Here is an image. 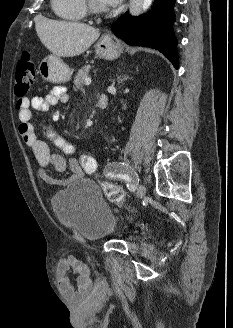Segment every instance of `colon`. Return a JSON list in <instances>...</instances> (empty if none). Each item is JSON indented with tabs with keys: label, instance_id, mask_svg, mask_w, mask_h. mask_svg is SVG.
I'll return each instance as SVG.
<instances>
[{
	"label": "colon",
	"instance_id": "colon-1",
	"mask_svg": "<svg viewBox=\"0 0 233 328\" xmlns=\"http://www.w3.org/2000/svg\"><path fill=\"white\" fill-rule=\"evenodd\" d=\"M36 78V68L31 55L24 52L17 63L15 74V93L19 97L25 96L33 86ZM56 144L66 152H71L72 147L64 140L54 137ZM82 165L87 172H94L96 169V162L89 156L82 158ZM102 188L107 199L116 204L125 202V194L120 186L109 181L102 182Z\"/></svg>",
	"mask_w": 233,
	"mask_h": 328
}]
</instances>
